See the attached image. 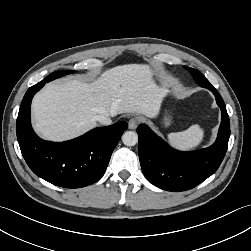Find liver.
Masks as SVG:
<instances>
[{
	"label": "liver",
	"instance_id": "1",
	"mask_svg": "<svg viewBox=\"0 0 251 251\" xmlns=\"http://www.w3.org/2000/svg\"><path fill=\"white\" fill-rule=\"evenodd\" d=\"M153 76L149 65L126 64L106 70L91 83H49L32 101L34 129L44 139L64 141L94 128L99 115L136 112L153 117L170 86H159Z\"/></svg>",
	"mask_w": 251,
	"mask_h": 251
}]
</instances>
